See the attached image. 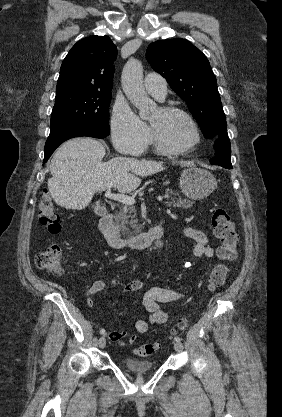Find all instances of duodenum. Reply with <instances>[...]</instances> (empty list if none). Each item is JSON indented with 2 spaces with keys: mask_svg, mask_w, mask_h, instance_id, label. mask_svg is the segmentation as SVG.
<instances>
[{
  "mask_svg": "<svg viewBox=\"0 0 282 417\" xmlns=\"http://www.w3.org/2000/svg\"><path fill=\"white\" fill-rule=\"evenodd\" d=\"M113 218V213H105L101 216L99 221V230L112 249L117 250L124 247L146 249L152 244L160 246L159 243L163 233L161 226H155L145 233L130 237H122L113 227Z\"/></svg>",
  "mask_w": 282,
  "mask_h": 417,
  "instance_id": "410a0bca",
  "label": "duodenum"
}]
</instances>
